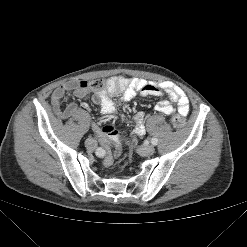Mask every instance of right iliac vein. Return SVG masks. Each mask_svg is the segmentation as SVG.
Listing matches in <instances>:
<instances>
[{"instance_id": "63e3f726", "label": "right iliac vein", "mask_w": 247, "mask_h": 247, "mask_svg": "<svg viewBox=\"0 0 247 247\" xmlns=\"http://www.w3.org/2000/svg\"><path fill=\"white\" fill-rule=\"evenodd\" d=\"M85 146L87 149H94L95 146H96V142L94 139L92 138H88L86 141H85Z\"/></svg>"}]
</instances>
